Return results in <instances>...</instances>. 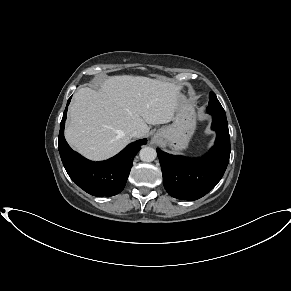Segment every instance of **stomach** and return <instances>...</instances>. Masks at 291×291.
Segmentation results:
<instances>
[{"mask_svg": "<svg viewBox=\"0 0 291 291\" xmlns=\"http://www.w3.org/2000/svg\"><path fill=\"white\" fill-rule=\"evenodd\" d=\"M196 129V114L192 102L183 94L179 95L174 122L160 128L154 135L164 141L172 150L181 151L187 148Z\"/></svg>", "mask_w": 291, "mask_h": 291, "instance_id": "obj_1", "label": "stomach"}]
</instances>
